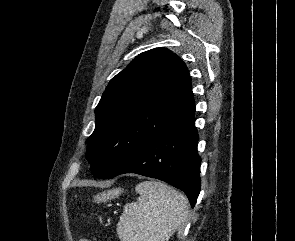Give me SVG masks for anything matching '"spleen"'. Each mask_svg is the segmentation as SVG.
I'll use <instances>...</instances> for the list:
<instances>
[{
	"instance_id": "1",
	"label": "spleen",
	"mask_w": 295,
	"mask_h": 241,
	"mask_svg": "<svg viewBox=\"0 0 295 241\" xmlns=\"http://www.w3.org/2000/svg\"><path fill=\"white\" fill-rule=\"evenodd\" d=\"M137 202L128 203L117 224L121 241H165L182 226L188 214L183 194L160 181L136 186Z\"/></svg>"
}]
</instances>
